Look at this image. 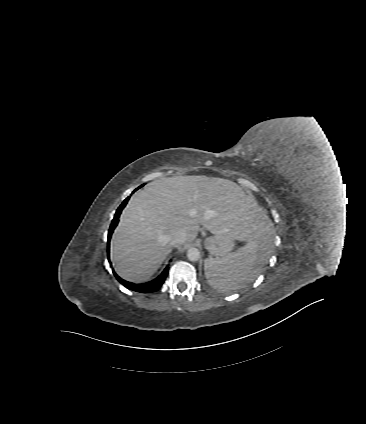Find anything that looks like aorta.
I'll return each mask as SVG.
<instances>
[{"instance_id":"aorta-1","label":"aorta","mask_w":366,"mask_h":424,"mask_svg":"<svg viewBox=\"0 0 366 424\" xmlns=\"http://www.w3.org/2000/svg\"><path fill=\"white\" fill-rule=\"evenodd\" d=\"M187 258L190 261H193V262L199 260V258H200V251L197 248H195V247L189 248L188 251H187Z\"/></svg>"}]
</instances>
